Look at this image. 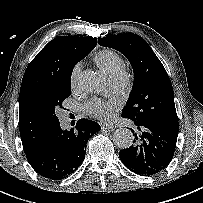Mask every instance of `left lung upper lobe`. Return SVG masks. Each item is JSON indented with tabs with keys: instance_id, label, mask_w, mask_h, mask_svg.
Returning a JSON list of instances; mask_svg holds the SVG:
<instances>
[{
	"instance_id": "obj_1",
	"label": "left lung upper lobe",
	"mask_w": 203,
	"mask_h": 203,
	"mask_svg": "<svg viewBox=\"0 0 203 203\" xmlns=\"http://www.w3.org/2000/svg\"><path fill=\"white\" fill-rule=\"evenodd\" d=\"M98 43L124 54L134 71L133 87L122 117L133 122L178 123L171 81L148 43L137 34L99 37Z\"/></svg>"
}]
</instances>
